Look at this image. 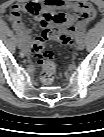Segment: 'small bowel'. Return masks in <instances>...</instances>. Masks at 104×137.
Returning a JSON list of instances; mask_svg holds the SVG:
<instances>
[{
    "label": "small bowel",
    "instance_id": "1",
    "mask_svg": "<svg viewBox=\"0 0 104 137\" xmlns=\"http://www.w3.org/2000/svg\"><path fill=\"white\" fill-rule=\"evenodd\" d=\"M21 12L29 13L42 24L45 18H49L54 23L64 26L74 36H77L96 16V10L92 5L78 0H42L12 5L9 20L22 35L26 43V52L31 56L30 31L22 21Z\"/></svg>",
    "mask_w": 104,
    "mask_h": 137
}]
</instances>
